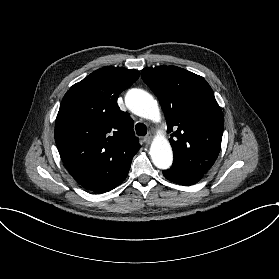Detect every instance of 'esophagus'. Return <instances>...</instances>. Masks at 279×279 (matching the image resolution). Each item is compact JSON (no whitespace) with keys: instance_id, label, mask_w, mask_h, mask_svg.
I'll return each instance as SVG.
<instances>
[{"instance_id":"34e87169","label":"esophagus","mask_w":279,"mask_h":279,"mask_svg":"<svg viewBox=\"0 0 279 279\" xmlns=\"http://www.w3.org/2000/svg\"><path fill=\"white\" fill-rule=\"evenodd\" d=\"M151 139H152V133H148L147 136L144 138V142L146 144H150Z\"/></svg>"}]
</instances>
